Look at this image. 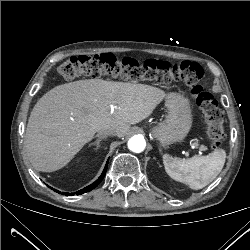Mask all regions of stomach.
I'll return each mask as SVG.
<instances>
[{"label": "stomach", "instance_id": "1", "mask_svg": "<svg viewBox=\"0 0 250 250\" xmlns=\"http://www.w3.org/2000/svg\"><path fill=\"white\" fill-rule=\"evenodd\" d=\"M168 115L166 119L153 126V136L162 144L170 145L183 140L192 125V114L188 99L177 93L166 96Z\"/></svg>", "mask_w": 250, "mask_h": 250}]
</instances>
